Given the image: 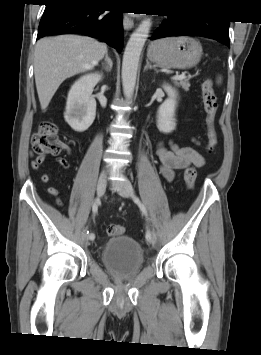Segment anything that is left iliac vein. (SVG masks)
Masks as SVG:
<instances>
[{"mask_svg":"<svg viewBox=\"0 0 261 355\" xmlns=\"http://www.w3.org/2000/svg\"><path fill=\"white\" fill-rule=\"evenodd\" d=\"M117 193H118L120 196L124 197V198H130V197H132V195H133V188H132L130 182H129L128 180H126L125 183H124V186L119 187V188L117 189ZM156 242H157V237H156V235L154 234L153 237H152L151 243H152L153 245H155Z\"/></svg>","mask_w":261,"mask_h":355,"instance_id":"left-iliac-vein-1","label":"left iliac vein"}]
</instances>
